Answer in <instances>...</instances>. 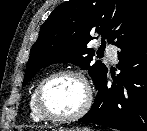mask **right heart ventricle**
Wrapping results in <instances>:
<instances>
[{"label": "right heart ventricle", "instance_id": "e07e8e85", "mask_svg": "<svg viewBox=\"0 0 147 131\" xmlns=\"http://www.w3.org/2000/svg\"><path fill=\"white\" fill-rule=\"evenodd\" d=\"M41 82V81H40ZM39 82V83H40ZM39 83H37V85L34 87L30 98H29V115L30 118L34 121V122H43L46 119H44L41 114L39 113L37 107H36V103H35V93H36V89L39 85Z\"/></svg>", "mask_w": 147, "mask_h": 131}]
</instances>
